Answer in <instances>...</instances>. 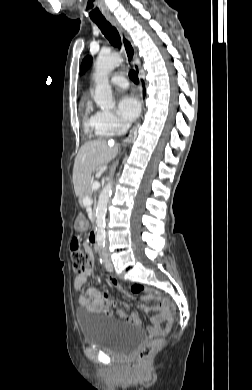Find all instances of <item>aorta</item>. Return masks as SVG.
<instances>
[{
    "instance_id": "aorta-1",
    "label": "aorta",
    "mask_w": 252,
    "mask_h": 390,
    "mask_svg": "<svg viewBox=\"0 0 252 390\" xmlns=\"http://www.w3.org/2000/svg\"><path fill=\"white\" fill-rule=\"evenodd\" d=\"M120 62L121 57L118 54H100L96 60L94 72V101L102 110H112L115 107L108 75ZM112 188L113 182L110 180L99 195L96 208V242L98 244L105 243V216L109 198L112 194Z\"/></svg>"
}]
</instances>
